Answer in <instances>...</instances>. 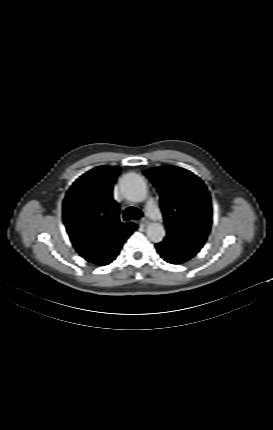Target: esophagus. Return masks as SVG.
<instances>
[{
    "mask_svg": "<svg viewBox=\"0 0 273 430\" xmlns=\"http://www.w3.org/2000/svg\"><path fill=\"white\" fill-rule=\"evenodd\" d=\"M141 224L146 227L149 224V221L146 218L141 219Z\"/></svg>",
    "mask_w": 273,
    "mask_h": 430,
    "instance_id": "obj_1",
    "label": "esophagus"
}]
</instances>
